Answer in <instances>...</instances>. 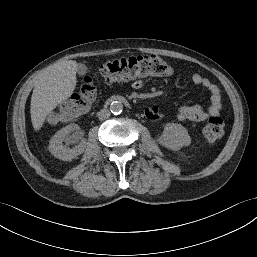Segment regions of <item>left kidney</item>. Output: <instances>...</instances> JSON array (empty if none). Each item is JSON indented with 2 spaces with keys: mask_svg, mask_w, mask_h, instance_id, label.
I'll return each mask as SVG.
<instances>
[{
  "mask_svg": "<svg viewBox=\"0 0 257 257\" xmlns=\"http://www.w3.org/2000/svg\"><path fill=\"white\" fill-rule=\"evenodd\" d=\"M159 141L164 147L176 151L190 145L191 138L181 124L167 123Z\"/></svg>",
  "mask_w": 257,
  "mask_h": 257,
  "instance_id": "1",
  "label": "left kidney"
}]
</instances>
